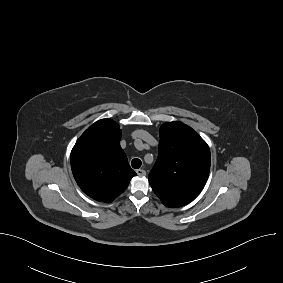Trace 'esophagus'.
<instances>
[{"mask_svg":"<svg viewBox=\"0 0 283 283\" xmlns=\"http://www.w3.org/2000/svg\"><path fill=\"white\" fill-rule=\"evenodd\" d=\"M136 173L138 176H145L146 175V171L144 169H137Z\"/></svg>","mask_w":283,"mask_h":283,"instance_id":"esophagus-1","label":"esophagus"}]
</instances>
